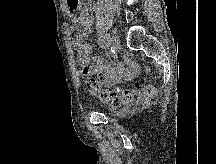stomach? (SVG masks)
Wrapping results in <instances>:
<instances>
[{
	"label": "stomach",
	"mask_w": 216,
	"mask_h": 164,
	"mask_svg": "<svg viewBox=\"0 0 216 164\" xmlns=\"http://www.w3.org/2000/svg\"><path fill=\"white\" fill-rule=\"evenodd\" d=\"M82 1L83 0H65L67 7L70 11L80 9Z\"/></svg>",
	"instance_id": "0dacf381"
}]
</instances>
